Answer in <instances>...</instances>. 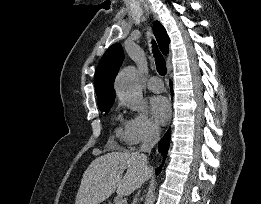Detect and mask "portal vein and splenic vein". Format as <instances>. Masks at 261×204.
I'll return each mask as SVG.
<instances>
[{"label": "portal vein and splenic vein", "instance_id": "18ae733b", "mask_svg": "<svg viewBox=\"0 0 261 204\" xmlns=\"http://www.w3.org/2000/svg\"><path fill=\"white\" fill-rule=\"evenodd\" d=\"M117 204H127V200L121 199V200L118 201Z\"/></svg>", "mask_w": 261, "mask_h": 204}]
</instances>
